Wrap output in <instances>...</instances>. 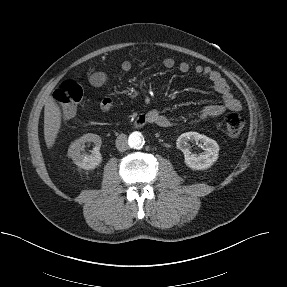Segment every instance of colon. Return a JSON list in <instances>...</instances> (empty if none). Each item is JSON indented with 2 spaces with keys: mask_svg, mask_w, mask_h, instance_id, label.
Returning <instances> with one entry per match:
<instances>
[{
  "mask_svg": "<svg viewBox=\"0 0 287 287\" xmlns=\"http://www.w3.org/2000/svg\"><path fill=\"white\" fill-rule=\"evenodd\" d=\"M83 94L82 85L75 80H67L55 90L54 98L59 104L64 118H70L75 114ZM224 122L226 132L233 137L238 136L245 126V119L238 113L228 114Z\"/></svg>",
  "mask_w": 287,
  "mask_h": 287,
  "instance_id": "1",
  "label": "colon"
}]
</instances>
